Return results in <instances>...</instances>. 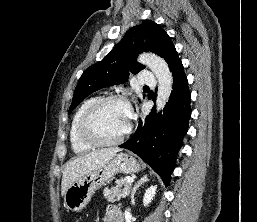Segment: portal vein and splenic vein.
<instances>
[{
	"label": "portal vein and splenic vein",
	"mask_w": 257,
	"mask_h": 222,
	"mask_svg": "<svg viewBox=\"0 0 257 222\" xmlns=\"http://www.w3.org/2000/svg\"><path fill=\"white\" fill-rule=\"evenodd\" d=\"M126 180H127V182H129V183H132V182L134 181L132 177H127Z\"/></svg>",
	"instance_id": "1"
}]
</instances>
